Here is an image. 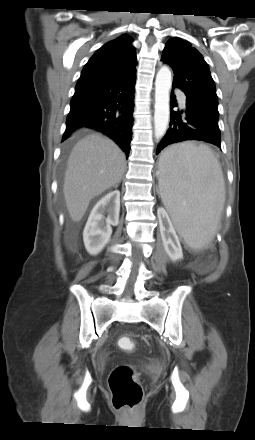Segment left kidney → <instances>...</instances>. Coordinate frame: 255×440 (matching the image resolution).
I'll list each match as a JSON object with an SVG mask.
<instances>
[{
	"label": "left kidney",
	"mask_w": 255,
	"mask_h": 440,
	"mask_svg": "<svg viewBox=\"0 0 255 440\" xmlns=\"http://www.w3.org/2000/svg\"><path fill=\"white\" fill-rule=\"evenodd\" d=\"M158 217L161 221L160 232L164 249L172 261L183 259L182 248L176 231L164 208L158 209Z\"/></svg>",
	"instance_id": "obj_1"
}]
</instances>
